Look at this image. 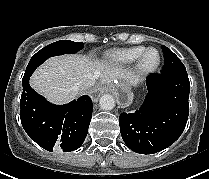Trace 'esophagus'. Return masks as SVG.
Listing matches in <instances>:
<instances>
[{"label":"esophagus","mask_w":209,"mask_h":179,"mask_svg":"<svg viewBox=\"0 0 209 179\" xmlns=\"http://www.w3.org/2000/svg\"><path fill=\"white\" fill-rule=\"evenodd\" d=\"M103 93H107L111 97L114 96L121 106H126L130 102V97L123 90H117L116 88L105 85H99L98 87L92 88L87 93V98L90 101H95Z\"/></svg>","instance_id":"obj_1"}]
</instances>
